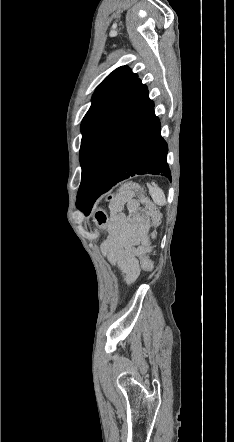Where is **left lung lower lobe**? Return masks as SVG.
Wrapping results in <instances>:
<instances>
[{"instance_id": "obj_1", "label": "left lung lower lobe", "mask_w": 234, "mask_h": 442, "mask_svg": "<svg viewBox=\"0 0 234 442\" xmlns=\"http://www.w3.org/2000/svg\"><path fill=\"white\" fill-rule=\"evenodd\" d=\"M167 152L154 103L137 79L84 145L76 206L88 214L101 194L135 174H161L171 180Z\"/></svg>"}]
</instances>
